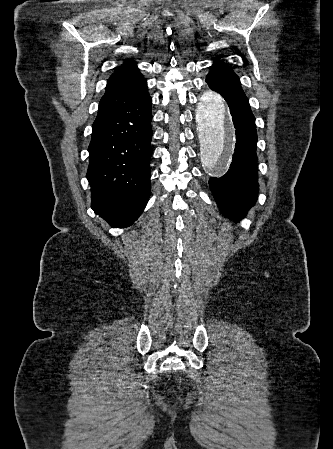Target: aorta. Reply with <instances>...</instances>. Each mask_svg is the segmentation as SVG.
<instances>
[{
    "label": "aorta",
    "instance_id": "762f6f07",
    "mask_svg": "<svg viewBox=\"0 0 333 449\" xmlns=\"http://www.w3.org/2000/svg\"><path fill=\"white\" fill-rule=\"evenodd\" d=\"M202 141L201 161L214 172L222 169L235 144L227 103L219 93L206 90L197 110Z\"/></svg>",
    "mask_w": 333,
    "mask_h": 449
}]
</instances>
